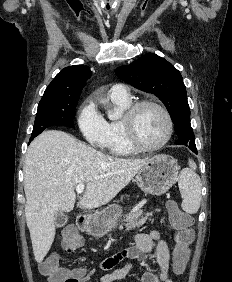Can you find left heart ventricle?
I'll list each match as a JSON object with an SVG mask.
<instances>
[{"label": "left heart ventricle", "mask_w": 232, "mask_h": 282, "mask_svg": "<svg viewBox=\"0 0 232 282\" xmlns=\"http://www.w3.org/2000/svg\"><path fill=\"white\" fill-rule=\"evenodd\" d=\"M135 127L139 140L148 146L161 142L167 133V124L163 114L151 106L143 107L138 112Z\"/></svg>", "instance_id": "left-heart-ventricle-1"}]
</instances>
